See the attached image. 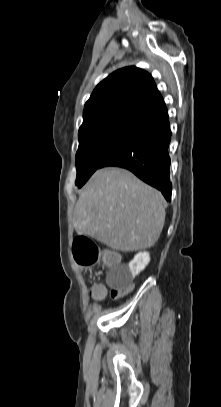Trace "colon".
Wrapping results in <instances>:
<instances>
[{
  "label": "colon",
  "instance_id": "5ec220e1",
  "mask_svg": "<svg viewBox=\"0 0 221 407\" xmlns=\"http://www.w3.org/2000/svg\"><path fill=\"white\" fill-rule=\"evenodd\" d=\"M73 253L76 262L83 267L95 265L99 261V249L97 245L85 237H77L73 242ZM104 265L106 268L113 266V261H121V252H104ZM130 291H112V296L115 298L121 297ZM105 289L101 286H95L92 289V296L96 299H101L105 296Z\"/></svg>",
  "mask_w": 221,
  "mask_h": 407
}]
</instances>
